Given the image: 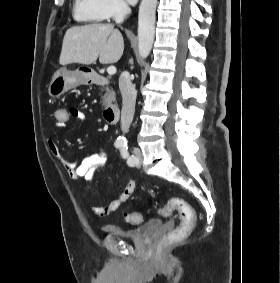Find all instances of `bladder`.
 Wrapping results in <instances>:
<instances>
[{"label": "bladder", "mask_w": 280, "mask_h": 283, "mask_svg": "<svg viewBox=\"0 0 280 283\" xmlns=\"http://www.w3.org/2000/svg\"><path fill=\"white\" fill-rule=\"evenodd\" d=\"M164 226L161 219H150L142 225L134 228H125L117 224L103 226V232L109 235H115L123 239L134 242H141Z\"/></svg>", "instance_id": "1"}]
</instances>
